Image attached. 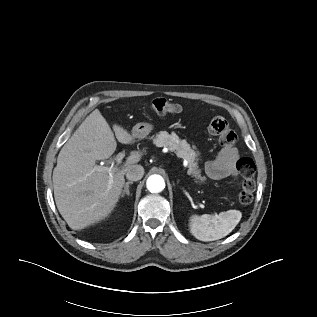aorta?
<instances>
[{"instance_id":"obj_1","label":"aorta","mask_w":317,"mask_h":317,"mask_svg":"<svg viewBox=\"0 0 317 317\" xmlns=\"http://www.w3.org/2000/svg\"><path fill=\"white\" fill-rule=\"evenodd\" d=\"M146 186L151 193H159L165 188V181L162 176L154 174L147 179Z\"/></svg>"}]
</instances>
